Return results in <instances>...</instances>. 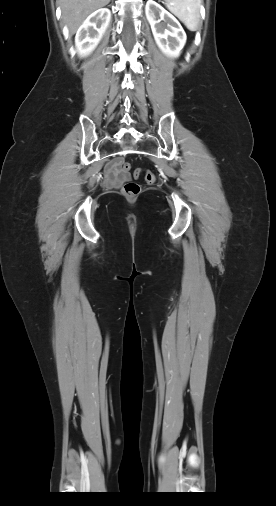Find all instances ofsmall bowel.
Returning <instances> with one entry per match:
<instances>
[{
    "instance_id": "small-bowel-1",
    "label": "small bowel",
    "mask_w": 276,
    "mask_h": 506,
    "mask_svg": "<svg viewBox=\"0 0 276 506\" xmlns=\"http://www.w3.org/2000/svg\"><path fill=\"white\" fill-rule=\"evenodd\" d=\"M117 162H119V160L111 162L106 167L105 184L107 186H116L129 178V175L127 173L121 172L116 167Z\"/></svg>"
}]
</instances>
